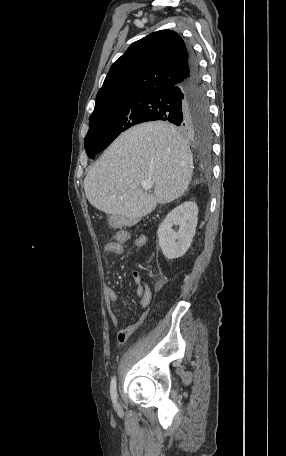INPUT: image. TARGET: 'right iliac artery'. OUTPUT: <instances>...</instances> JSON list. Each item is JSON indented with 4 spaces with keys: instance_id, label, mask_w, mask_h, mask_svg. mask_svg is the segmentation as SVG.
Returning <instances> with one entry per match:
<instances>
[{
    "instance_id": "82829eb1",
    "label": "right iliac artery",
    "mask_w": 286,
    "mask_h": 456,
    "mask_svg": "<svg viewBox=\"0 0 286 456\" xmlns=\"http://www.w3.org/2000/svg\"><path fill=\"white\" fill-rule=\"evenodd\" d=\"M110 395L114 404L117 402V388H116V377L114 376L110 384Z\"/></svg>"
}]
</instances>
